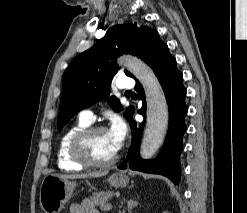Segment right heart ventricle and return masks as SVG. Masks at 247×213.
I'll return each mask as SVG.
<instances>
[{
	"label": "right heart ventricle",
	"instance_id": "obj_1",
	"mask_svg": "<svg viewBox=\"0 0 247 213\" xmlns=\"http://www.w3.org/2000/svg\"><path fill=\"white\" fill-rule=\"evenodd\" d=\"M90 126L89 122L79 119L75 124L70 126L61 136L57 148V165L64 171H80L84 167L78 164L71 156L70 143L73 136L86 127Z\"/></svg>",
	"mask_w": 247,
	"mask_h": 213
}]
</instances>
